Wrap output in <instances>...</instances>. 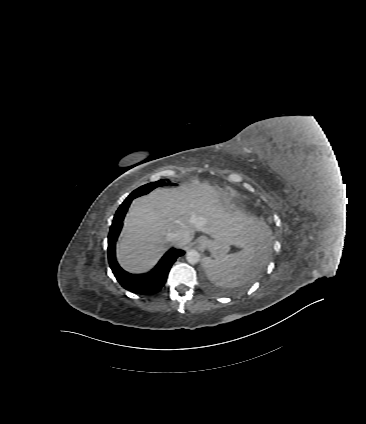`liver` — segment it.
Segmentation results:
<instances>
[{"instance_id": "1", "label": "liver", "mask_w": 366, "mask_h": 424, "mask_svg": "<svg viewBox=\"0 0 366 424\" xmlns=\"http://www.w3.org/2000/svg\"><path fill=\"white\" fill-rule=\"evenodd\" d=\"M234 195L229 187L196 181L180 188H157L135 199L116 248L119 265L132 274L149 271L173 245L170 234L181 229L191 239L201 231L240 248L269 244L270 228L242 209H234L230 205Z\"/></svg>"}]
</instances>
